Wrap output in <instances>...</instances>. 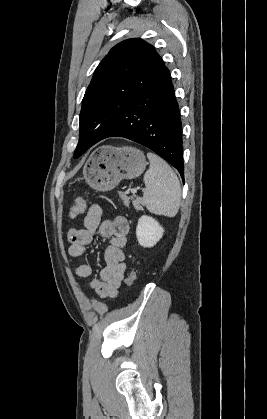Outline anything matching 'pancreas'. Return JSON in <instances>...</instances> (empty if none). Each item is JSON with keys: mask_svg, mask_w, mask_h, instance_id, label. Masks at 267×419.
<instances>
[{"mask_svg": "<svg viewBox=\"0 0 267 419\" xmlns=\"http://www.w3.org/2000/svg\"><path fill=\"white\" fill-rule=\"evenodd\" d=\"M122 202L125 206H129L130 204V197L126 196V194H121ZM132 199L133 206L136 210H143L142 204L143 200L140 197H137L136 199Z\"/></svg>", "mask_w": 267, "mask_h": 419, "instance_id": "1", "label": "pancreas"}]
</instances>
